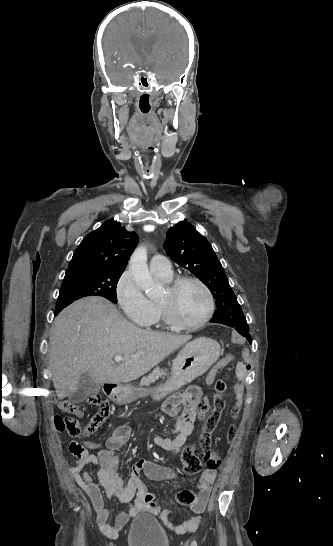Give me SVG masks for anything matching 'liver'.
<instances>
[{
	"instance_id": "obj_1",
	"label": "liver",
	"mask_w": 333,
	"mask_h": 546,
	"mask_svg": "<svg viewBox=\"0 0 333 546\" xmlns=\"http://www.w3.org/2000/svg\"><path fill=\"white\" fill-rule=\"evenodd\" d=\"M191 338L140 329L104 298L80 299L55 319L49 349L53 385L74 392L84 373L99 385L131 382ZM116 355L122 363H114Z\"/></svg>"
}]
</instances>
